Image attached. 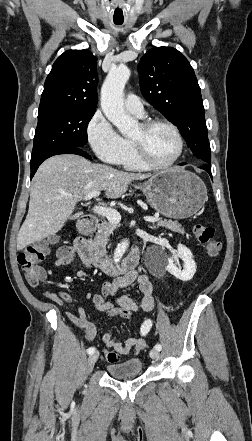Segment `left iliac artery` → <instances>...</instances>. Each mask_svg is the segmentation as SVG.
Returning a JSON list of instances; mask_svg holds the SVG:
<instances>
[{
    "label": "left iliac artery",
    "mask_w": 252,
    "mask_h": 441,
    "mask_svg": "<svg viewBox=\"0 0 252 441\" xmlns=\"http://www.w3.org/2000/svg\"><path fill=\"white\" fill-rule=\"evenodd\" d=\"M151 326H152L151 320H147V321L142 322V324L140 326V333L142 335H145L148 332V330H150ZM154 348L158 351H160L162 349L160 344H156L154 346Z\"/></svg>",
    "instance_id": "44dca946"
}]
</instances>
